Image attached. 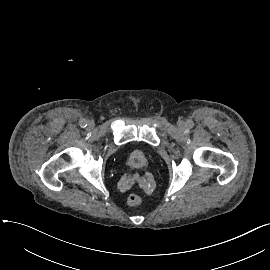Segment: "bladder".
I'll return each mask as SVG.
<instances>
[{"instance_id":"bladder-1","label":"bladder","mask_w":270,"mask_h":270,"mask_svg":"<svg viewBox=\"0 0 270 270\" xmlns=\"http://www.w3.org/2000/svg\"><path fill=\"white\" fill-rule=\"evenodd\" d=\"M143 154H148L147 152L144 151H139ZM138 151L133 152V156L129 160L128 166L132 170H136L137 166H141L146 162V158H144L142 155H140Z\"/></svg>"}]
</instances>
